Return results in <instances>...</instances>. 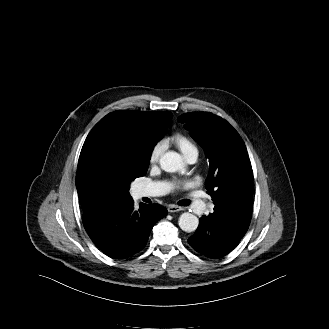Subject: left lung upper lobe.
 Instances as JSON below:
<instances>
[{"label": "left lung upper lobe", "mask_w": 329, "mask_h": 329, "mask_svg": "<svg viewBox=\"0 0 329 329\" xmlns=\"http://www.w3.org/2000/svg\"><path fill=\"white\" fill-rule=\"evenodd\" d=\"M209 159L205 186L214 205L224 206L252 188L253 172L245 144L224 119L209 112L178 117Z\"/></svg>", "instance_id": "obj_1"}]
</instances>
